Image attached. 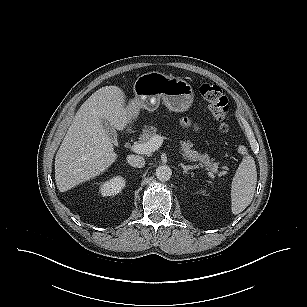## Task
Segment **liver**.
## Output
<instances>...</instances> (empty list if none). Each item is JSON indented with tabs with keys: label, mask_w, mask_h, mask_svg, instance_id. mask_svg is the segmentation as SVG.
I'll use <instances>...</instances> for the list:
<instances>
[{
	"label": "liver",
	"mask_w": 307,
	"mask_h": 307,
	"mask_svg": "<svg viewBox=\"0 0 307 307\" xmlns=\"http://www.w3.org/2000/svg\"><path fill=\"white\" fill-rule=\"evenodd\" d=\"M101 119L119 131L129 124L131 113L119 87L98 89L74 116L55 157V181L60 192L100 175L116 161L118 155Z\"/></svg>",
	"instance_id": "1"
}]
</instances>
